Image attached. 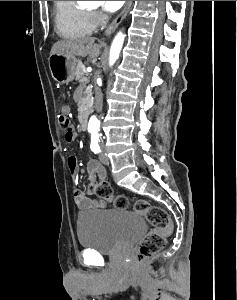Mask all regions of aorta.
<instances>
[{
    "instance_id": "aorta-1",
    "label": "aorta",
    "mask_w": 237,
    "mask_h": 300,
    "mask_svg": "<svg viewBox=\"0 0 237 300\" xmlns=\"http://www.w3.org/2000/svg\"><path fill=\"white\" fill-rule=\"evenodd\" d=\"M124 39H125V35H123V33H117L110 49V55H109L110 67H112V65L116 63L120 55V51L123 47ZM99 125L100 123L98 119H96V117H91V119H89V123H88L89 129H99Z\"/></svg>"
}]
</instances>
